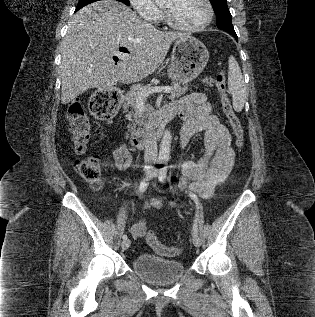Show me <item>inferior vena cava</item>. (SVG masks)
<instances>
[{
	"label": "inferior vena cava",
	"mask_w": 315,
	"mask_h": 317,
	"mask_svg": "<svg viewBox=\"0 0 315 317\" xmlns=\"http://www.w3.org/2000/svg\"><path fill=\"white\" fill-rule=\"evenodd\" d=\"M157 140L154 135L149 132L147 139L145 141V150H144V160L145 163L149 164L148 170H153L152 164L157 161Z\"/></svg>",
	"instance_id": "602c4592"
}]
</instances>
